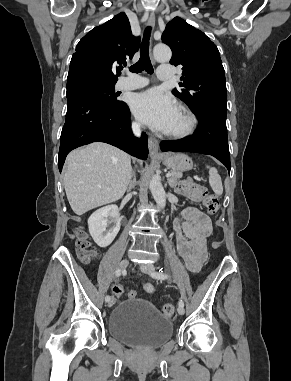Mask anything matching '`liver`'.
Wrapping results in <instances>:
<instances>
[{"instance_id":"obj_1","label":"liver","mask_w":291,"mask_h":381,"mask_svg":"<svg viewBox=\"0 0 291 381\" xmlns=\"http://www.w3.org/2000/svg\"><path fill=\"white\" fill-rule=\"evenodd\" d=\"M131 158L106 143L95 142L70 152L64 187L78 216L123 197L130 183Z\"/></svg>"}]
</instances>
